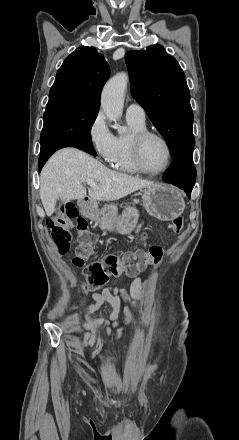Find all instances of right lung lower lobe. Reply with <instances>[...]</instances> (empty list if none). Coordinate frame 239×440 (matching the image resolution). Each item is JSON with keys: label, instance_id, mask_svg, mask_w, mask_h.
I'll list each match as a JSON object with an SVG mask.
<instances>
[{"label": "right lung lower lobe", "instance_id": "1", "mask_svg": "<svg viewBox=\"0 0 239 440\" xmlns=\"http://www.w3.org/2000/svg\"><path fill=\"white\" fill-rule=\"evenodd\" d=\"M63 147H76L78 149H81L93 156H97L96 151L92 145V142H89L88 140L84 138H78V137H70L65 138L59 141H56L54 143H51L46 148L40 150V158L38 162V168L39 171H41L43 165L46 163L48 158L58 149Z\"/></svg>", "mask_w": 239, "mask_h": 440}]
</instances>
